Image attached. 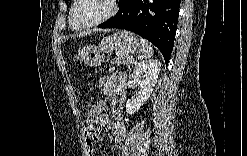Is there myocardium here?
Masks as SVG:
<instances>
[{
    "mask_svg": "<svg viewBox=\"0 0 247 156\" xmlns=\"http://www.w3.org/2000/svg\"><path fill=\"white\" fill-rule=\"evenodd\" d=\"M81 1H83V0H77L73 3L72 8L70 10V14H69V23H70L71 27L75 30H84V29H89V28L98 26V25L102 24L103 22L107 21L109 18H111L117 11V3L115 0H105L108 2V6H109V9L105 15H103L102 17H100L99 19H97L91 23H88L85 25H77L74 22V13H75L77 6L79 5V3Z\"/></svg>",
    "mask_w": 247,
    "mask_h": 156,
    "instance_id": "f54148a6",
    "label": "myocardium"
}]
</instances>
